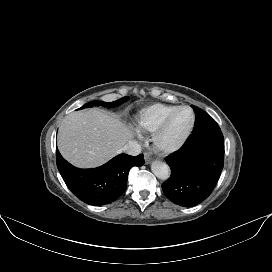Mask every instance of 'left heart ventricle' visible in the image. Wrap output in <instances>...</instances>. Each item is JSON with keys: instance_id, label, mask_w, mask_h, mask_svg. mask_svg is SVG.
<instances>
[{"instance_id": "1", "label": "left heart ventricle", "mask_w": 272, "mask_h": 272, "mask_svg": "<svg viewBox=\"0 0 272 272\" xmlns=\"http://www.w3.org/2000/svg\"><path fill=\"white\" fill-rule=\"evenodd\" d=\"M191 120V114L188 110L178 111L171 119L165 139L167 141L176 140L188 127Z\"/></svg>"}]
</instances>
